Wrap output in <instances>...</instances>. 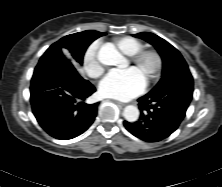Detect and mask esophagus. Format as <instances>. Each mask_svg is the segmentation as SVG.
<instances>
[{"label": "esophagus", "mask_w": 222, "mask_h": 187, "mask_svg": "<svg viewBox=\"0 0 222 187\" xmlns=\"http://www.w3.org/2000/svg\"><path fill=\"white\" fill-rule=\"evenodd\" d=\"M116 104L120 105V106H125L126 104L125 103H122V102H119V101H116V100H113Z\"/></svg>", "instance_id": "1"}]
</instances>
